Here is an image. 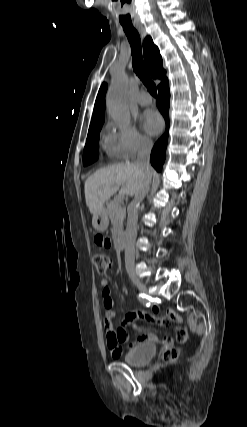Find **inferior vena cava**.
Segmentation results:
<instances>
[{"instance_id":"602c4592","label":"inferior vena cava","mask_w":247,"mask_h":427,"mask_svg":"<svg viewBox=\"0 0 247 427\" xmlns=\"http://www.w3.org/2000/svg\"><path fill=\"white\" fill-rule=\"evenodd\" d=\"M152 142L148 139L140 141L136 165L141 168L145 174V179L135 194L134 200L128 209V220L126 228V247H125V266L128 273H133L135 269V241L137 237L138 205L145 198L149 191L152 168L150 165V153Z\"/></svg>"}]
</instances>
